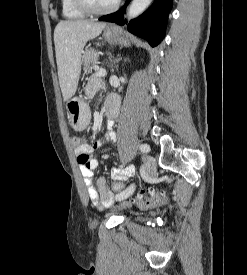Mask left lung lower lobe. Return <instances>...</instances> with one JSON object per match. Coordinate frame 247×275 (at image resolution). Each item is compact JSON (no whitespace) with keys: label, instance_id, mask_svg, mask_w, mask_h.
<instances>
[{"label":"left lung lower lobe","instance_id":"1","mask_svg":"<svg viewBox=\"0 0 247 275\" xmlns=\"http://www.w3.org/2000/svg\"><path fill=\"white\" fill-rule=\"evenodd\" d=\"M129 1H126L117 12L102 16L99 20L123 25L122 17ZM171 7V0H155L142 15L130 21L127 25L128 31L146 39L152 47L157 46L165 36Z\"/></svg>","mask_w":247,"mask_h":275}]
</instances>
